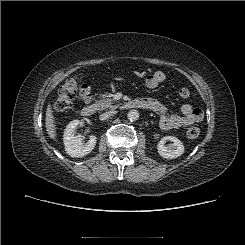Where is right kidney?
Returning a JSON list of instances; mask_svg holds the SVG:
<instances>
[{
    "label": "right kidney",
    "mask_w": 245,
    "mask_h": 245,
    "mask_svg": "<svg viewBox=\"0 0 245 245\" xmlns=\"http://www.w3.org/2000/svg\"><path fill=\"white\" fill-rule=\"evenodd\" d=\"M79 120L71 121L63 135L65 151L66 153L75 158L84 157L89 154L96 145V136H90L87 143H82V136L76 133L77 126L79 125Z\"/></svg>",
    "instance_id": "right-kidney-1"
}]
</instances>
